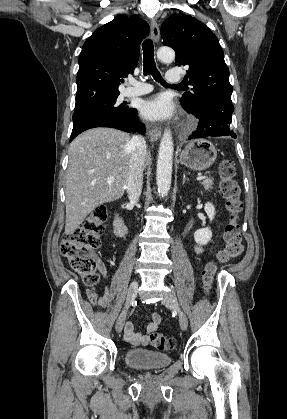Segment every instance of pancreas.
Returning <instances> with one entry per match:
<instances>
[{
	"mask_svg": "<svg viewBox=\"0 0 287 419\" xmlns=\"http://www.w3.org/2000/svg\"><path fill=\"white\" fill-rule=\"evenodd\" d=\"M201 184L205 190L209 191L210 189L213 188L214 183H213V179H206Z\"/></svg>",
	"mask_w": 287,
	"mask_h": 419,
	"instance_id": "cf45deb5",
	"label": "pancreas"
}]
</instances>
